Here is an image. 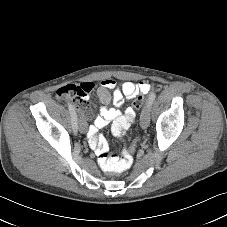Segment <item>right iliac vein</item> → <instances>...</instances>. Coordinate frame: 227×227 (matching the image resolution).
<instances>
[{"label": "right iliac vein", "mask_w": 227, "mask_h": 227, "mask_svg": "<svg viewBox=\"0 0 227 227\" xmlns=\"http://www.w3.org/2000/svg\"><path fill=\"white\" fill-rule=\"evenodd\" d=\"M79 131L81 133H85L86 132V128H85V126L81 122L79 123Z\"/></svg>", "instance_id": "right-iliac-vein-1"}]
</instances>
